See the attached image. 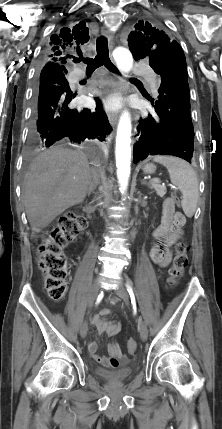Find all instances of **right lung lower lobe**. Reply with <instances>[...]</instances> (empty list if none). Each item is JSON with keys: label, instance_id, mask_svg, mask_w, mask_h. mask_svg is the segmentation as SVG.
Segmentation results:
<instances>
[{"label": "right lung lower lobe", "instance_id": "1", "mask_svg": "<svg viewBox=\"0 0 222 429\" xmlns=\"http://www.w3.org/2000/svg\"><path fill=\"white\" fill-rule=\"evenodd\" d=\"M59 64L47 62L36 84V102L33 106L32 134L41 145L54 143L80 145L85 139L105 141L112 128L101 101L96 111L74 109L70 102L75 97Z\"/></svg>", "mask_w": 222, "mask_h": 429}]
</instances>
